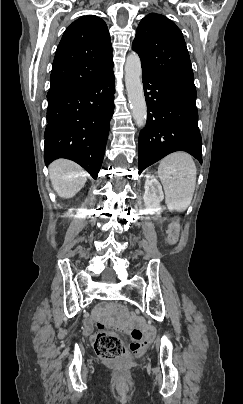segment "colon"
Listing matches in <instances>:
<instances>
[{
  "label": "colon",
  "mask_w": 243,
  "mask_h": 404,
  "mask_svg": "<svg viewBox=\"0 0 243 404\" xmlns=\"http://www.w3.org/2000/svg\"><path fill=\"white\" fill-rule=\"evenodd\" d=\"M178 237V226L171 225L168 233V241L174 243ZM108 309L111 312L125 313L126 309L122 304L110 303ZM129 342L126 344L113 332L101 331L94 338V346L97 355L105 360H116L127 356L129 352L141 354L149 345V338L138 328H132L128 331Z\"/></svg>",
  "instance_id": "1"
}]
</instances>
